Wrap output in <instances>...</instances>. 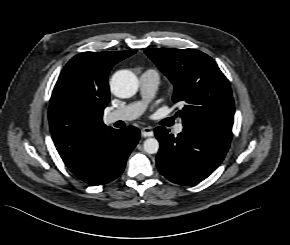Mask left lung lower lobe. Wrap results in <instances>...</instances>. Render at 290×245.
<instances>
[{"label": "left lung lower lobe", "instance_id": "left-lung-lower-lobe-1", "mask_svg": "<svg viewBox=\"0 0 290 245\" xmlns=\"http://www.w3.org/2000/svg\"><path fill=\"white\" fill-rule=\"evenodd\" d=\"M154 131L160 142L157 168L168 180L180 185L206 179L223 161L231 143V138L198 125H184L177 137L164 127Z\"/></svg>", "mask_w": 290, "mask_h": 245}]
</instances>
